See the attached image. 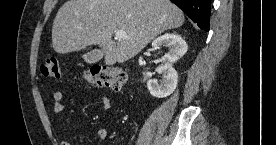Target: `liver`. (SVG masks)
Masks as SVG:
<instances>
[{
	"label": "liver",
	"instance_id": "1",
	"mask_svg": "<svg viewBox=\"0 0 276 145\" xmlns=\"http://www.w3.org/2000/svg\"><path fill=\"white\" fill-rule=\"evenodd\" d=\"M183 23V12L170 0H68L53 21L52 45L61 54L98 45L105 64L114 65ZM115 30H123L129 38L113 41Z\"/></svg>",
	"mask_w": 276,
	"mask_h": 145
}]
</instances>
